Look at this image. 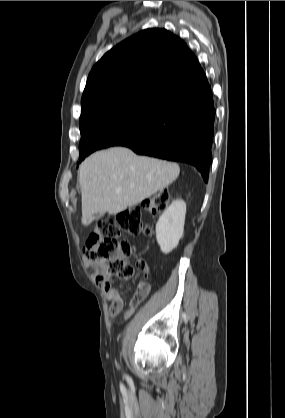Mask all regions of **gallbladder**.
Wrapping results in <instances>:
<instances>
[{"mask_svg": "<svg viewBox=\"0 0 285 418\" xmlns=\"http://www.w3.org/2000/svg\"><path fill=\"white\" fill-rule=\"evenodd\" d=\"M104 215V213H95L93 214L91 217H89L86 221H84V224H90L93 220H97L100 219L102 216Z\"/></svg>", "mask_w": 285, "mask_h": 418, "instance_id": "gallbladder-1", "label": "gallbladder"}]
</instances>
